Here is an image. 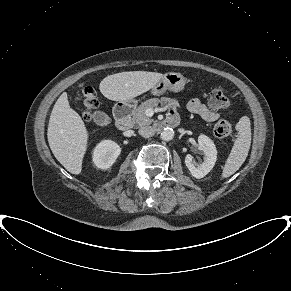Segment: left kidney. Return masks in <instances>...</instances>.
Returning <instances> with one entry per match:
<instances>
[{
  "label": "left kidney",
  "mask_w": 291,
  "mask_h": 291,
  "mask_svg": "<svg viewBox=\"0 0 291 291\" xmlns=\"http://www.w3.org/2000/svg\"><path fill=\"white\" fill-rule=\"evenodd\" d=\"M198 149L203 151L206 159L200 167H196L193 163V156L187 154L185 157V164L189 169L191 175L197 179L206 176L214 167L217 160V150L213 141L206 135L198 137Z\"/></svg>",
  "instance_id": "5707ae66"
}]
</instances>
